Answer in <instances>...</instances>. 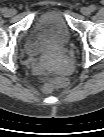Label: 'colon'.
Returning <instances> with one entry per match:
<instances>
[{
  "mask_svg": "<svg viewBox=\"0 0 104 137\" xmlns=\"http://www.w3.org/2000/svg\"><path fill=\"white\" fill-rule=\"evenodd\" d=\"M54 87H56V84H51L47 87V90H52Z\"/></svg>",
  "mask_w": 104,
  "mask_h": 137,
  "instance_id": "obj_1",
  "label": "colon"
}]
</instances>
